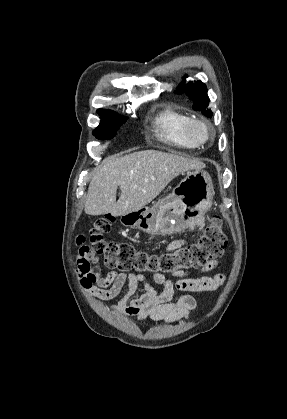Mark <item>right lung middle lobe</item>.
I'll return each mask as SVG.
<instances>
[{
    "label": "right lung middle lobe",
    "mask_w": 287,
    "mask_h": 419,
    "mask_svg": "<svg viewBox=\"0 0 287 419\" xmlns=\"http://www.w3.org/2000/svg\"><path fill=\"white\" fill-rule=\"evenodd\" d=\"M99 115L101 122L93 131V135L96 136L97 139L106 140L113 138L119 127L126 122V117L119 116L114 112Z\"/></svg>",
    "instance_id": "right-lung-middle-lobe-1"
}]
</instances>
